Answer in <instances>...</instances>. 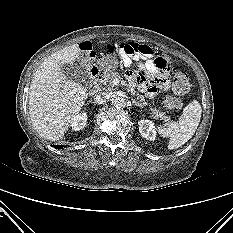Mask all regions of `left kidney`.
<instances>
[{"label": "left kidney", "mask_w": 233, "mask_h": 233, "mask_svg": "<svg viewBox=\"0 0 233 233\" xmlns=\"http://www.w3.org/2000/svg\"><path fill=\"white\" fill-rule=\"evenodd\" d=\"M139 132L143 138L154 141L156 139V130L154 123L150 120H140L138 122Z\"/></svg>", "instance_id": "1"}]
</instances>
